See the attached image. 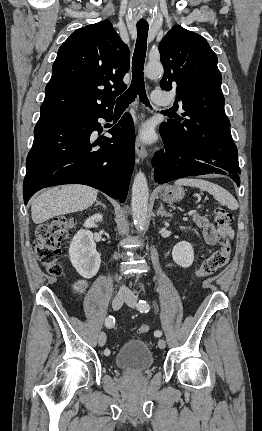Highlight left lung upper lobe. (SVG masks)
Here are the masks:
<instances>
[{
    "instance_id": "1",
    "label": "left lung upper lobe",
    "mask_w": 262,
    "mask_h": 431,
    "mask_svg": "<svg viewBox=\"0 0 262 431\" xmlns=\"http://www.w3.org/2000/svg\"><path fill=\"white\" fill-rule=\"evenodd\" d=\"M159 52L164 66L160 87L176 90L173 108L184 111L163 123L160 132L178 147L222 151L232 137L216 54L202 36L181 26L166 34Z\"/></svg>"
}]
</instances>
